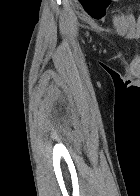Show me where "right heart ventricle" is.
Here are the masks:
<instances>
[{"label": "right heart ventricle", "instance_id": "obj_1", "mask_svg": "<svg viewBox=\"0 0 140 196\" xmlns=\"http://www.w3.org/2000/svg\"><path fill=\"white\" fill-rule=\"evenodd\" d=\"M92 192H111V191H92Z\"/></svg>", "mask_w": 140, "mask_h": 196}]
</instances>
